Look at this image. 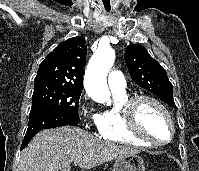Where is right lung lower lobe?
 Listing matches in <instances>:
<instances>
[{
    "label": "right lung lower lobe",
    "instance_id": "obj_1",
    "mask_svg": "<svg viewBox=\"0 0 199 171\" xmlns=\"http://www.w3.org/2000/svg\"><path fill=\"white\" fill-rule=\"evenodd\" d=\"M78 122L79 121L74 118L51 108L30 111L28 129L23 139L21 149L25 148L33 136L43 129L55 128L64 125L76 126L78 125Z\"/></svg>",
    "mask_w": 199,
    "mask_h": 171
}]
</instances>
